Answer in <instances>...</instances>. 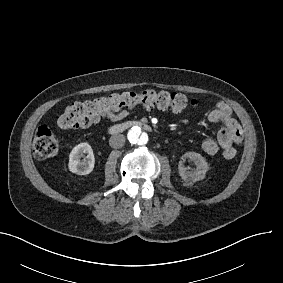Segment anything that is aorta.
I'll list each match as a JSON object with an SVG mask.
<instances>
[{
  "instance_id": "obj_1",
  "label": "aorta",
  "mask_w": 283,
  "mask_h": 283,
  "mask_svg": "<svg viewBox=\"0 0 283 283\" xmlns=\"http://www.w3.org/2000/svg\"><path fill=\"white\" fill-rule=\"evenodd\" d=\"M127 138L131 144L144 146L149 141L147 132L143 131L140 127L134 126L129 129Z\"/></svg>"
}]
</instances>
